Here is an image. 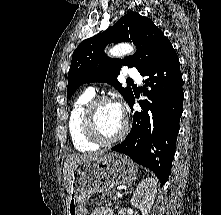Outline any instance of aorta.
<instances>
[{
	"label": "aorta",
	"mask_w": 221,
	"mask_h": 215,
	"mask_svg": "<svg viewBox=\"0 0 221 215\" xmlns=\"http://www.w3.org/2000/svg\"><path fill=\"white\" fill-rule=\"evenodd\" d=\"M134 52V47L128 43H120V44H117L115 45L114 47H112L108 54L111 56V57H121V56H124V55H127L129 53H132Z\"/></svg>",
	"instance_id": "1"
}]
</instances>
